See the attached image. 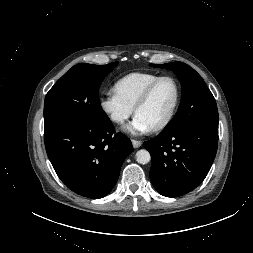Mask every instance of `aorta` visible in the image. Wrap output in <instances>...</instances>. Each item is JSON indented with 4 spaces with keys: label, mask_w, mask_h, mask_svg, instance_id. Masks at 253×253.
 Wrapping results in <instances>:
<instances>
[{
    "label": "aorta",
    "mask_w": 253,
    "mask_h": 253,
    "mask_svg": "<svg viewBox=\"0 0 253 253\" xmlns=\"http://www.w3.org/2000/svg\"><path fill=\"white\" fill-rule=\"evenodd\" d=\"M151 160L150 153L146 149H141L136 153V161L140 164H147Z\"/></svg>",
    "instance_id": "aorta-1"
}]
</instances>
